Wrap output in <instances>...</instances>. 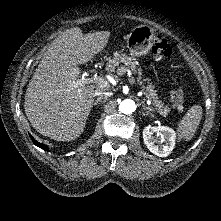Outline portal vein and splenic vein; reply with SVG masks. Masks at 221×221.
Wrapping results in <instances>:
<instances>
[{
	"label": "portal vein and splenic vein",
	"mask_w": 221,
	"mask_h": 221,
	"mask_svg": "<svg viewBox=\"0 0 221 221\" xmlns=\"http://www.w3.org/2000/svg\"><path fill=\"white\" fill-rule=\"evenodd\" d=\"M126 71H127V69L121 68L120 69V75H123ZM128 72H130V71H128ZM129 82L131 84L134 83L132 78H129ZM83 83H96V84H98L99 88H105V87L109 86L108 81L105 80L103 77H99V76H93V77H89V78L82 77L81 79L74 82V85L78 86V85H81ZM148 103H150V101H148Z\"/></svg>",
	"instance_id": "obj_1"
}]
</instances>
